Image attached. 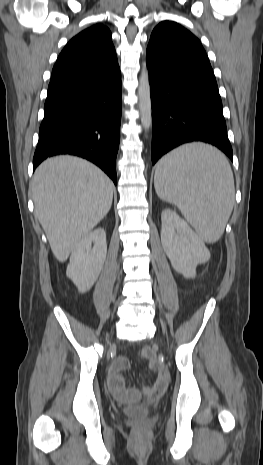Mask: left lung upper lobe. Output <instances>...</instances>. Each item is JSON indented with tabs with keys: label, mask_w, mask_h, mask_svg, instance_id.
Returning a JSON list of instances; mask_svg holds the SVG:
<instances>
[{
	"label": "left lung upper lobe",
	"mask_w": 263,
	"mask_h": 465,
	"mask_svg": "<svg viewBox=\"0 0 263 465\" xmlns=\"http://www.w3.org/2000/svg\"><path fill=\"white\" fill-rule=\"evenodd\" d=\"M147 48L174 58L209 62L200 41L187 29L172 21H163L154 28Z\"/></svg>",
	"instance_id": "left-lung-upper-lobe-1"
}]
</instances>
